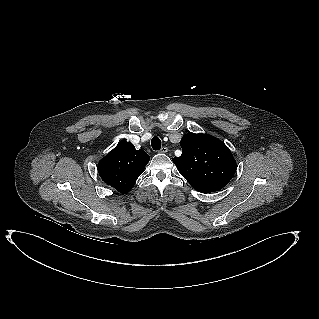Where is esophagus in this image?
<instances>
[{"label":"esophagus","mask_w":319,"mask_h":319,"mask_svg":"<svg viewBox=\"0 0 319 319\" xmlns=\"http://www.w3.org/2000/svg\"><path fill=\"white\" fill-rule=\"evenodd\" d=\"M160 152L161 153H167L168 152V148L167 147H162L161 149H160Z\"/></svg>","instance_id":"obj_1"}]
</instances>
